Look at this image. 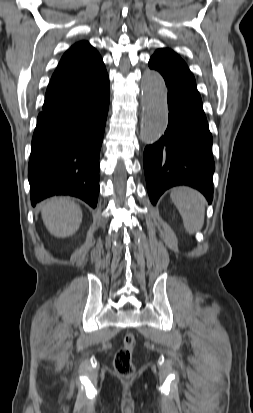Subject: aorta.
<instances>
[{
  "instance_id": "1",
  "label": "aorta",
  "mask_w": 253,
  "mask_h": 413,
  "mask_svg": "<svg viewBox=\"0 0 253 413\" xmlns=\"http://www.w3.org/2000/svg\"><path fill=\"white\" fill-rule=\"evenodd\" d=\"M141 89L143 115L140 138L144 143L152 144L167 128V89L162 76L154 71L144 73Z\"/></svg>"
}]
</instances>
